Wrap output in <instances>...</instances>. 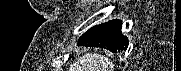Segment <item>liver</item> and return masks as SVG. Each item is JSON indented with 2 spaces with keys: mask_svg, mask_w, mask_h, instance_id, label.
Returning a JSON list of instances; mask_svg holds the SVG:
<instances>
[{
  "mask_svg": "<svg viewBox=\"0 0 181 71\" xmlns=\"http://www.w3.org/2000/svg\"><path fill=\"white\" fill-rule=\"evenodd\" d=\"M114 64L109 58L97 53H86L70 65L69 71H112Z\"/></svg>",
  "mask_w": 181,
  "mask_h": 71,
  "instance_id": "6515ba94",
  "label": "liver"
}]
</instances>
